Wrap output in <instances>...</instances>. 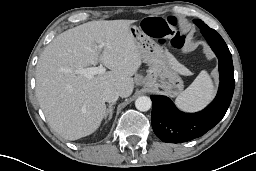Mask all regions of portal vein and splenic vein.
Returning <instances> with one entry per match:
<instances>
[{
	"instance_id": "obj_1",
	"label": "portal vein and splenic vein",
	"mask_w": 256,
	"mask_h": 171,
	"mask_svg": "<svg viewBox=\"0 0 256 171\" xmlns=\"http://www.w3.org/2000/svg\"><path fill=\"white\" fill-rule=\"evenodd\" d=\"M102 46L103 45H100L99 48ZM104 72H106V68L104 66L83 68L75 71L76 74L83 75L88 79H92L95 75L102 74Z\"/></svg>"
}]
</instances>
